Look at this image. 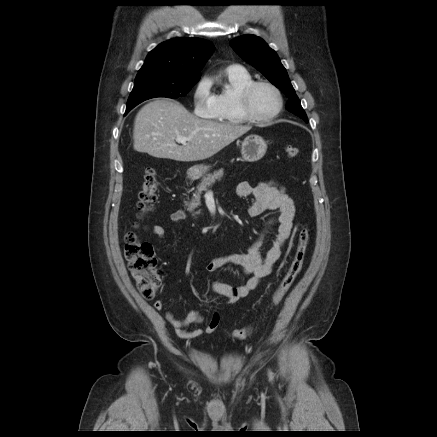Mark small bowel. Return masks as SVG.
<instances>
[{
    "label": "small bowel",
    "instance_id": "obj_1",
    "mask_svg": "<svg viewBox=\"0 0 437 437\" xmlns=\"http://www.w3.org/2000/svg\"><path fill=\"white\" fill-rule=\"evenodd\" d=\"M236 192L240 198H252L247 208L250 216H258L265 211H275L276 214L267 221L256 240L245 253L217 257L207 264L206 269L211 273L220 270L228 264H233L239 266L245 274L249 275V279L238 286H232L221 281L213 282V291L225 297L229 304H234L239 299L246 297L263 278L272 272L292 232L296 211L293 199L287 194L285 188L274 180L263 181L255 186L248 182H241L238 184ZM186 218L187 213L181 209L170 214V219L175 223H179ZM274 223H278L276 234L266 254L262 255L259 247L267 229ZM151 233L159 240H162L165 230L160 225H154L151 228ZM154 307L160 311L163 309V304L161 301H156ZM165 317L173 326L176 334L182 339L195 338L204 332L212 333L220 324V318L216 312L213 313L205 329H187L193 324H200L203 320L200 313L196 310H190L182 319L176 318L171 312H167Z\"/></svg>",
    "mask_w": 437,
    "mask_h": 437
}]
</instances>
